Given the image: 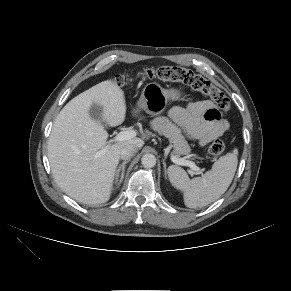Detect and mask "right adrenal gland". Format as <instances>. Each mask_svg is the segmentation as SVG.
<instances>
[{
    "mask_svg": "<svg viewBox=\"0 0 291 291\" xmlns=\"http://www.w3.org/2000/svg\"><path fill=\"white\" fill-rule=\"evenodd\" d=\"M129 161H130V159L123 161V163L119 165L118 169L115 172V179H116V182H118L117 183L118 185H120L121 182L123 181L124 173H125V166ZM120 171H121V176H120V179H118Z\"/></svg>",
    "mask_w": 291,
    "mask_h": 291,
    "instance_id": "right-adrenal-gland-1",
    "label": "right adrenal gland"
}]
</instances>
